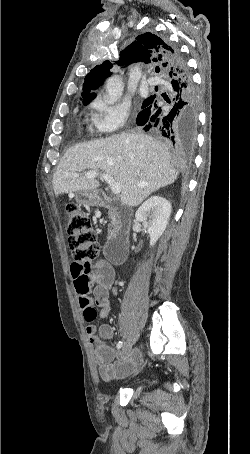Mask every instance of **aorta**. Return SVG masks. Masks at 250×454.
Returning <instances> with one entry per match:
<instances>
[{
  "instance_id": "762f6f07",
  "label": "aorta",
  "mask_w": 250,
  "mask_h": 454,
  "mask_svg": "<svg viewBox=\"0 0 250 454\" xmlns=\"http://www.w3.org/2000/svg\"><path fill=\"white\" fill-rule=\"evenodd\" d=\"M106 103L112 105L116 103L123 94V82L120 76H112L106 82Z\"/></svg>"
}]
</instances>
